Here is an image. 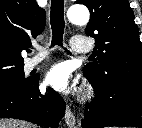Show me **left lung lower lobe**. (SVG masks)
<instances>
[{
	"instance_id": "left-lung-lower-lobe-1",
	"label": "left lung lower lobe",
	"mask_w": 142,
	"mask_h": 128,
	"mask_svg": "<svg viewBox=\"0 0 142 128\" xmlns=\"http://www.w3.org/2000/svg\"><path fill=\"white\" fill-rule=\"evenodd\" d=\"M92 86L95 98L85 107L81 120L83 128H142V88L112 85L108 89H100L94 83Z\"/></svg>"
}]
</instances>
